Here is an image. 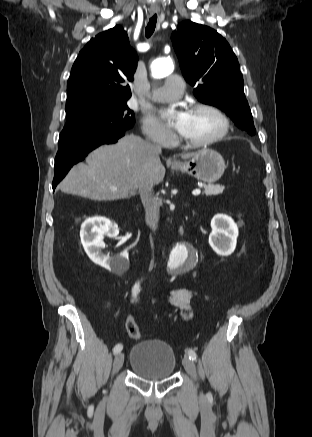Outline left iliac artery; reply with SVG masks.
I'll use <instances>...</instances> for the list:
<instances>
[{
    "label": "left iliac artery",
    "instance_id": "1",
    "mask_svg": "<svg viewBox=\"0 0 312 437\" xmlns=\"http://www.w3.org/2000/svg\"><path fill=\"white\" fill-rule=\"evenodd\" d=\"M187 354H188L189 358L192 361H196L197 360V354H196V352L193 349H188L187 350Z\"/></svg>",
    "mask_w": 312,
    "mask_h": 437
}]
</instances>
